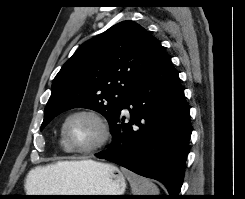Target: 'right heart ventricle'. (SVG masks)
Returning a JSON list of instances; mask_svg holds the SVG:
<instances>
[{
  "label": "right heart ventricle",
  "mask_w": 245,
  "mask_h": 199,
  "mask_svg": "<svg viewBox=\"0 0 245 199\" xmlns=\"http://www.w3.org/2000/svg\"><path fill=\"white\" fill-rule=\"evenodd\" d=\"M59 144H60L61 148L63 149V151H65L67 153H71L70 149L67 147L66 143L64 142L62 135L59 138Z\"/></svg>",
  "instance_id": "e07e8e85"
}]
</instances>
